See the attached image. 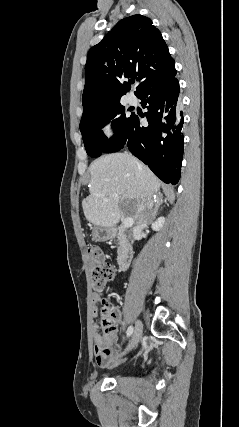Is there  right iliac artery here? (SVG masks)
<instances>
[{
	"mask_svg": "<svg viewBox=\"0 0 239 427\" xmlns=\"http://www.w3.org/2000/svg\"><path fill=\"white\" fill-rule=\"evenodd\" d=\"M133 330H134L133 326L128 327V329H127V336L128 337L131 336V334L133 333Z\"/></svg>",
	"mask_w": 239,
	"mask_h": 427,
	"instance_id": "1",
	"label": "right iliac artery"
}]
</instances>
